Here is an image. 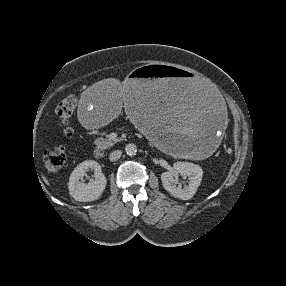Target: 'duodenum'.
Segmentation results:
<instances>
[{"label":"duodenum","instance_id":"1","mask_svg":"<svg viewBox=\"0 0 286 286\" xmlns=\"http://www.w3.org/2000/svg\"><path fill=\"white\" fill-rule=\"evenodd\" d=\"M94 156H95V158H97V159H102L103 156H104V153H103V151H102L101 149L97 148V149H95V151H94Z\"/></svg>","mask_w":286,"mask_h":286}]
</instances>
